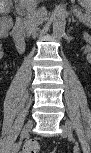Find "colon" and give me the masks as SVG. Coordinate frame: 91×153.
<instances>
[{
    "label": "colon",
    "mask_w": 91,
    "mask_h": 153,
    "mask_svg": "<svg viewBox=\"0 0 91 153\" xmlns=\"http://www.w3.org/2000/svg\"><path fill=\"white\" fill-rule=\"evenodd\" d=\"M1 27L8 31L10 27V20L7 18H1L0 21ZM40 150V143L38 140H29L23 146L22 152L24 153H37Z\"/></svg>",
    "instance_id": "5ec220e1"
}]
</instances>
